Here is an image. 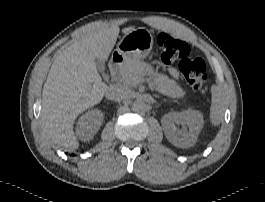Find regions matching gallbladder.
Returning <instances> with one entry per match:
<instances>
[{
    "label": "gallbladder",
    "instance_id": "1",
    "mask_svg": "<svg viewBox=\"0 0 265 202\" xmlns=\"http://www.w3.org/2000/svg\"><path fill=\"white\" fill-rule=\"evenodd\" d=\"M95 62L97 70L103 74L105 72V62L98 58L95 59Z\"/></svg>",
    "mask_w": 265,
    "mask_h": 202
}]
</instances>
